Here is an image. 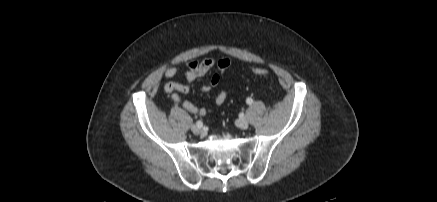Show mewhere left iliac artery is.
Wrapping results in <instances>:
<instances>
[{
    "instance_id": "left-iliac-artery-1",
    "label": "left iliac artery",
    "mask_w": 437,
    "mask_h": 202,
    "mask_svg": "<svg viewBox=\"0 0 437 202\" xmlns=\"http://www.w3.org/2000/svg\"><path fill=\"white\" fill-rule=\"evenodd\" d=\"M246 103L249 104V105L252 104L253 103V99L252 98H247L246 99Z\"/></svg>"
}]
</instances>
